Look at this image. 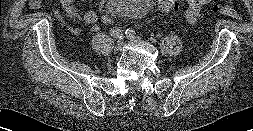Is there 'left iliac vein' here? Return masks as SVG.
<instances>
[{"instance_id": "4c4485c4", "label": "left iliac vein", "mask_w": 253, "mask_h": 131, "mask_svg": "<svg viewBox=\"0 0 253 131\" xmlns=\"http://www.w3.org/2000/svg\"><path fill=\"white\" fill-rule=\"evenodd\" d=\"M130 40H134V41H140V38L138 36H129L128 37Z\"/></svg>"}]
</instances>
